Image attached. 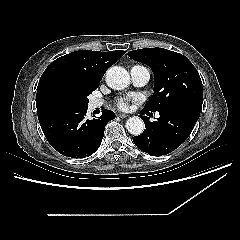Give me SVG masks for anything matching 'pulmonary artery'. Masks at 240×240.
I'll return each mask as SVG.
<instances>
[{
  "label": "pulmonary artery",
  "instance_id": "1",
  "mask_svg": "<svg viewBox=\"0 0 240 240\" xmlns=\"http://www.w3.org/2000/svg\"><path fill=\"white\" fill-rule=\"evenodd\" d=\"M130 75L132 83L137 87L146 85L150 80L149 69L142 65H134L130 70ZM102 104L103 102L98 99L92 102L93 107H100ZM156 116L158 117L159 115L157 114Z\"/></svg>",
  "mask_w": 240,
  "mask_h": 240
}]
</instances>
